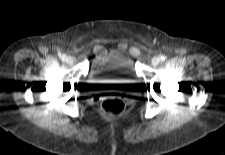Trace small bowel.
<instances>
[{
    "instance_id": "small-bowel-1",
    "label": "small bowel",
    "mask_w": 225,
    "mask_h": 155,
    "mask_svg": "<svg viewBox=\"0 0 225 155\" xmlns=\"http://www.w3.org/2000/svg\"><path fill=\"white\" fill-rule=\"evenodd\" d=\"M95 53L97 56H101V55L105 54V49L102 46L97 45L95 47Z\"/></svg>"
}]
</instances>
